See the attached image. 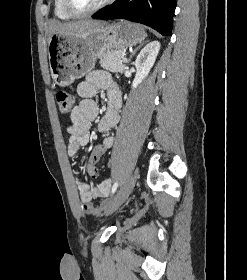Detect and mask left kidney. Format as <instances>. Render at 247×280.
Masks as SVG:
<instances>
[{
    "label": "left kidney",
    "mask_w": 247,
    "mask_h": 280,
    "mask_svg": "<svg viewBox=\"0 0 247 280\" xmlns=\"http://www.w3.org/2000/svg\"><path fill=\"white\" fill-rule=\"evenodd\" d=\"M160 47V42L152 41L149 44H147L138 54L135 61V67L137 71L132 83L133 88H137L138 85L149 74L151 68L153 67L156 61Z\"/></svg>",
    "instance_id": "obj_1"
}]
</instances>
